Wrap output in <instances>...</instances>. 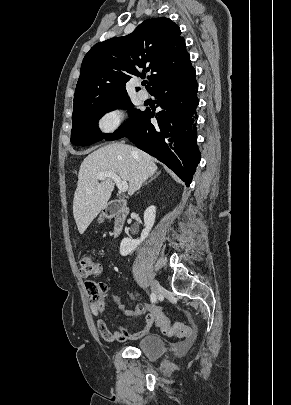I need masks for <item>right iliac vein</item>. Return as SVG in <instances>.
<instances>
[{
  "mask_svg": "<svg viewBox=\"0 0 291 405\" xmlns=\"http://www.w3.org/2000/svg\"><path fill=\"white\" fill-rule=\"evenodd\" d=\"M160 290H161V286H160V284L158 283V281L153 280V281L151 282V291H152V293H153L155 296H157V295L159 294Z\"/></svg>",
  "mask_w": 291,
  "mask_h": 405,
  "instance_id": "1",
  "label": "right iliac vein"
}]
</instances>
